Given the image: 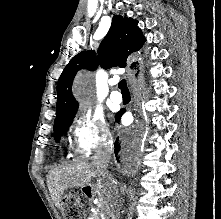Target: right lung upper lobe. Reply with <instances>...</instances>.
<instances>
[{
  "instance_id": "right-lung-upper-lobe-1",
  "label": "right lung upper lobe",
  "mask_w": 221,
  "mask_h": 219,
  "mask_svg": "<svg viewBox=\"0 0 221 219\" xmlns=\"http://www.w3.org/2000/svg\"><path fill=\"white\" fill-rule=\"evenodd\" d=\"M138 21L132 18L115 15L111 27L100 44L98 56L93 51H82L74 56L63 70L57 83L56 118H59L74 108L78 103L72 95V82L81 69L94 70L98 63L103 68L113 66L125 67L131 56L140 50L145 37L137 26ZM137 62L131 64L136 69Z\"/></svg>"
}]
</instances>
